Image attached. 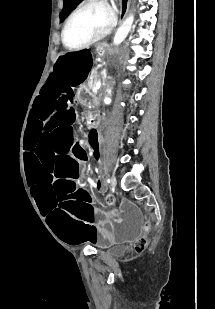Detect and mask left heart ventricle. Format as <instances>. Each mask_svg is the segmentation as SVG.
<instances>
[{"mask_svg": "<svg viewBox=\"0 0 215 309\" xmlns=\"http://www.w3.org/2000/svg\"><path fill=\"white\" fill-rule=\"evenodd\" d=\"M106 24L107 19L104 18V11L97 8L85 10L78 14L70 24L66 41L69 46L81 45L82 41L89 40L95 29H103Z\"/></svg>", "mask_w": 215, "mask_h": 309, "instance_id": "1", "label": "left heart ventricle"}]
</instances>
